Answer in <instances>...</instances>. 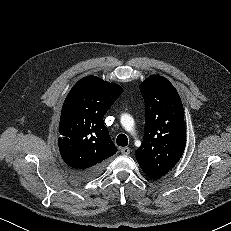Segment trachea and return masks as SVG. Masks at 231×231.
<instances>
[{
    "label": "trachea",
    "mask_w": 231,
    "mask_h": 231,
    "mask_svg": "<svg viewBox=\"0 0 231 231\" xmlns=\"http://www.w3.org/2000/svg\"><path fill=\"white\" fill-rule=\"evenodd\" d=\"M118 146L125 147L128 145V138L125 134H119L116 139Z\"/></svg>",
    "instance_id": "1"
}]
</instances>
